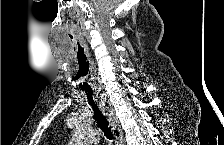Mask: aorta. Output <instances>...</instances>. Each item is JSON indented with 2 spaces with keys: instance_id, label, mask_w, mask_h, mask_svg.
Instances as JSON below:
<instances>
[{
  "instance_id": "obj_1",
  "label": "aorta",
  "mask_w": 224,
  "mask_h": 145,
  "mask_svg": "<svg viewBox=\"0 0 224 145\" xmlns=\"http://www.w3.org/2000/svg\"><path fill=\"white\" fill-rule=\"evenodd\" d=\"M100 138L99 131L92 128V127H84L80 126L77 127L73 138L72 144L73 145H93L95 144Z\"/></svg>"
}]
</instances>
